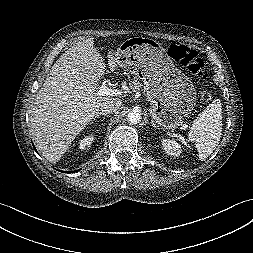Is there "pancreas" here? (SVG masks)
<instances>
[{"instance_id":"cf45deb5","label":"pancreas","mask_w":253,"mask_h":253,"mask_svg":"<svg viewBox=\"0 0 253 253\" xmlns=\"http://www.w3.org/2000/svg\"><path fill=\"white\" fill-rule=\"evenodd\" d=\"M141 83L137 80H133L131 81V83L129 84V87L132 89V90H137L139 89V87H141Z\"/></svg>"}]
</instances>
